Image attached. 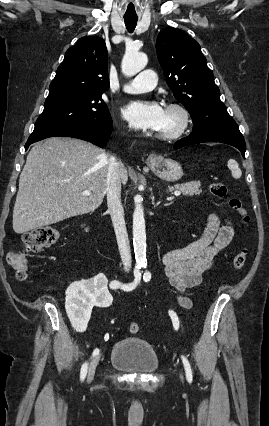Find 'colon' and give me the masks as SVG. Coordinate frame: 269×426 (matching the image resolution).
I'll return each instance as SVG.
<instances>
[{
	"label": "colon",
	"mask_w": 269,
	"mask_h": 426,
	"mask_svg": "<svg viewBox=\"0 0 269 426\" xmlns=\"http://www.w3.org/2000/svg\"><path fill=\"white\" fill-rule=\"evenodd\" d=\"M209 190L212 196L226 200L228 207L241 217L244 224L249 223L250 216L247 210L242 206V202L238 198H228L227 187L223 183L214 182L210 184ZM59 238V230L52 226H43L25 233L22 236L24 250H12L8 252L6 256L7 264L14 271L16 278L20 281H24L28 278V254L39 252L45 248L54 246L58 242ZM245 263L246 252L240 251L233 259V268L235 270H240L244 267ZM128 329L130 333L137 334L141 330V325L139 323L132 322L129 324Z\"/></svg>",
	"instance_id": "1"
}]
</instances>
